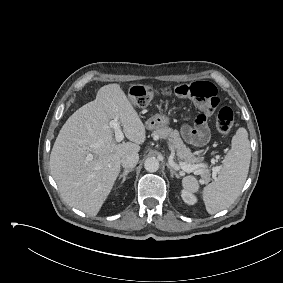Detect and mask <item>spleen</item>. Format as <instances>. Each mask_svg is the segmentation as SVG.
<instances>
[{"instance_id": "1", "label": "spleen", "mask_w": 283, "mask_h": 283, "mask_svg": "<svg viewBox=\"0 0 283 283\" xmlns=\"http://www.w3.org/2000/svg\"><path fill=\"white\" fill-rule=\"evenodd\" d=\"M250 160L251 149L247 131L239 128L232 138L231 150L223 159L218 178L203 190V200L209 214H215L234 203L246 181ZM182 186L189 192L199 189L194 176L184 177Z\"/></svg>"}]
</instances>
